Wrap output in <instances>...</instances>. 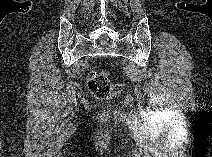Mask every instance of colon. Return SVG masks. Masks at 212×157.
Instances as JSON below:
<instances>
[{
  "mask_svg": "<svg viewBox=\"0 0 212 157\" xmlns=\"http://www.w3.org/2000/svg\"><path fill=\"white\" fill-rule=\"evenodd\" d=\"M88 89L100 99H107L121 90V85L112 83L106 72H94L88 77Z\"/></svg>",
  "mask_w": 212,
  "mask_h": 157,
  "instance_id": "5ec220e1",
  "label": "colon"
}]
</instances>
